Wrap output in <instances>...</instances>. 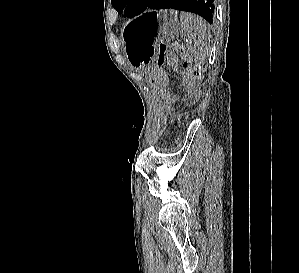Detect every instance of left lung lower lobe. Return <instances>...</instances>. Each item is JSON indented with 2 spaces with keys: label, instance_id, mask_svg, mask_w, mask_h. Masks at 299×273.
Instances as JSON below:
<instances>
[{
  "label": "left lung lower lobe",
  "instance_id": "obj_1",
  "mask_svg": "<svg viewBox=\"0 0 299 273\" xmlns=\"http://www.w3.org/2000/svg\"><path fill=\"white\" fill-rule=\"evenodd\" d=\"M213 1L214 0H151L147 8H173L176 10L189 11L202 16L212 24L214 13Z\"/></svg>",
  "mask_w": 299,
  "mask_h": 273
}]
</instances>
